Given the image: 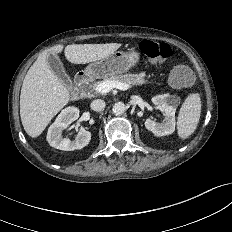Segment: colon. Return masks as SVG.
<instances>
[{
	"instance_id": "1",
	"label": "colon",
	"mask_w": 232,
	"mask_h": 232,
	"mask_svg": "<svg viewBox=\"0 0 232 232\" xmlns=\"http://www.w3.org/2000/svg\"><path fill=\"white\" fill-rule=\"evenodd\" d=\"M140 49L152 61H163L172 54V49L167 43L152 40L142 41ZM169 80L174 87L182 88L190 86L194 77L187 66L179 64L171 70Z\"/></svg>"
}]
</instances>
